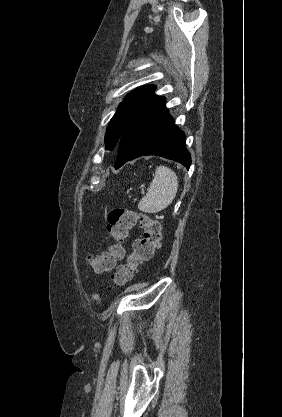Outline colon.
Returning a JSON list of instances; mask_svg holds the SVG:
<instances>
[{
    "label": "colon",
    "instance_id": "colon-1",
    "mask_svg": "<svg viewBox=\"0 0 282 417\" xmlns=\"http://www.w3.org/2000/svg\"><path fill=\"white\" fill-rule=\"evenodd\" d=\"M142 229L143 235L133 244V252L126 263L120 265L111 278L109 289L129 282L135 271L152 260L162 239V225L149 214L133 209L114 208L108 216L107 229L111 237L108 249L91 256L88 263L97 273L110 271L123 255L122 243L129 237L133 227Z\"/></svg>",
    "mask_w": 282,
    "mask_h": 417
}]
</instances>
